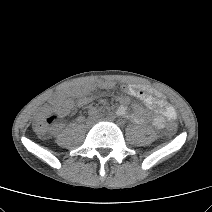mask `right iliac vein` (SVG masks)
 Listing matches in <instances>:
<instances>
[{"mask_svg":"<svg viewBox=\"0 0 212 212\" xmlns=\"http://www.w3.org/2000/svg\"><path fill=\"white\" fill-rule=\"evenodd\" d=\"M89 126L93 124L92 120L90 119L87 123Z\"/></svg>","mask_w":212,"mask_h":212,"instance_id":"obj_1","label":"right iliac vein"}]
</instances>
